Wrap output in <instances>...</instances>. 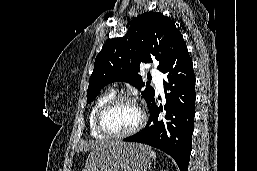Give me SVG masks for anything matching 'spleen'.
<instances>
[{
    "label": "spleen",
    "mask_w": 257,
    "mask_h": 171,
    "mask_svg": "<svg viewBox=\"0 0 257 171\" xmlns=\"http://www.w3.org/2000/svg\"><path fill=\"white\" fill-rule=\"evenodd\" d=\"M149 151H150L151 156L155 159V158H156V154H155V152H154V151H152V150H150V149H149Z\"/></svg>",
    "instance_id": "obj_1"
}]
</instances>
